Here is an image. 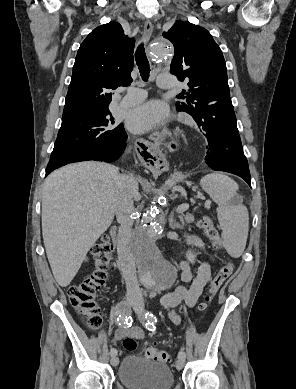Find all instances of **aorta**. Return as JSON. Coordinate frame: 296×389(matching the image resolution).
<instances>
[{
  "mask_svg": "<svg viewBox=\"0 0 296 389\" xmlns=\"http://www.w3.org/2000/svg\"><path fill=\"white\" fill-rule=\"evenodd\" d=\"M154 66H167L173 59V52L166 40L156 41L149 53ZM156 206L146 210L140 224L133 231L130 248L138 263L142 284L152 290H165L172 286L176 270L161 254L158 239L163 223Z\"/></svg>",
  "mask_w": 296,
  "mask_h": 389,
  "instance_id": "aorta-1",
  "label": "aorta"
}]
</instances>
